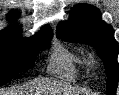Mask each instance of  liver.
<instances>
[{
  "mask_svg": "<svg viewBox=\"0 0 119 95\" xmlns=\"http://www.w3.org/2000/svg\"><path fill=\"white\" fill-rule=\"evenodd\" d=\"M56 90L58 93L64 92L65 95H73L76 91L64 83H56L51 81L40 80L17 89H2L0 95H40L39 93H48L44 90Z\"/></svg>",
  "mask_w": 119,
  "mask_h": 95,
  "instance_id": "liver-1",
  "label": "liver"
}]
</instances>
